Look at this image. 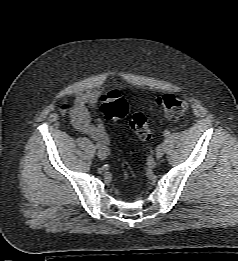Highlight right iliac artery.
Returning a JSON list of instances; mask_svg holds the SVG:
<instances>
[{
	"label": "right iliac artery",
	"instance_id": "right-iliac-artery-1",
	"mask_svg": "<svg viewBox=\"0 0 238 261\" xmlns=\"http://www.w3.org/2000/svg\"><path fill=\"white\" fill-rule=\"evenodd\" d=\"M96 148H98V149H102V150H107V147L106 146H104V145H102V144H99V143H96Z\"/></svg>",
	"mask_w": 238,
	"mask_h": 261
}]
</instances>
